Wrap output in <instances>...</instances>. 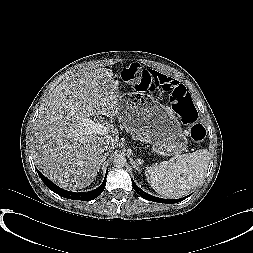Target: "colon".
Returning <instances> with one entry per match:
<instances>
[{
    "mask_svg": "<svg viewBox=\"0 0 253 253\" xmlns=\"http://www.w3.org/2000/svg\"><path fill=\"white\" fill-rule=\"evenodd\" d=\"M122 76L126 82L135 83L138 79H146L148 71L137 64H132L123 70ZM163 90L169 93L174 112L184 123L189 125V134L192 140L201 142L205 138L206 131L197 121V110L185 87L177 84Z\"/></svg>",
    "mask_w": 253,
    "mask_h": 253,
    "instance_id": "1",
    "label": "colon"
}]
</instances>
